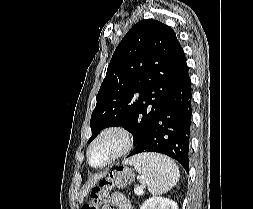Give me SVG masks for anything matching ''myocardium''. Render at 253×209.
<instances>
[{"mask_svg":"<svg viewBox=\"0 0 253 209\" xmlns=\"http://www.w3.org/2000/svg\"><path fill=\"white\" fill-rule=\"evenodd\" d=\"M118 134L121 137V146L120 148L105 162L100 165H93L91 162V153L93 147L97 142H99L103 137L108 134ZM133 145V136L129 128L122 124H111L99 131V133L94 137L92 142L90 143L88 150H87V161L88 164L93 168H103L108 166L109 164L113 163L114 161L118 160L120 157L125 155Z\"/></svg>","mask_w":253,"mask_h":209,"instance_id":"1","label":"myocardium"}]
</instances>
